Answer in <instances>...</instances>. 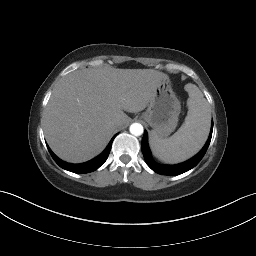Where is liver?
I'll return each instance as SVG.
<instances>
[{
  "instance_id": "obj_1",
  "label": "liver",
  "mask_w": 256,
  "mask_h": 256,
  "mask_svg": "<svg viewBox=\"0 0 256 256\" xmlns=\"http://www.w3.org/2000/svg\"><path fill=\"white\" fill-rule=\"evenodd\" d=\"M164 73L113 67L76 70L54 88L42 117L45 138L62 160L82 163L100 154L112 133L144 110Z\"/></svg>"
}]
</instances>
